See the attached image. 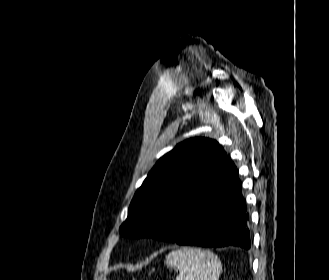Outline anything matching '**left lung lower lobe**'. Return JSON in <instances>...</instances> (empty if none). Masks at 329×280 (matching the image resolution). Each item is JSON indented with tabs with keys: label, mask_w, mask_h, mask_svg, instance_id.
Returning a JSON list of instances; mask_svg holds the SVG:
<instances>
[{
	"label": "left lung lower lobe",
	"mask_w": 329,
	"mask_h": 280,
	"mask_svg": "<svg viewBox=\"0 0 329 280\" xmlns=\"http://www.w3.org/2000/svg\"><path fill=\"white\" fill-rule=\"evenodd\" d=\"M241 188L232 163L219 188L204 193L188 207L180 221L161 231L160 239L179 245L248 250L251 246L249 221Z\"/></svg>",
	"instance_id": "1"
}]
</instances>
